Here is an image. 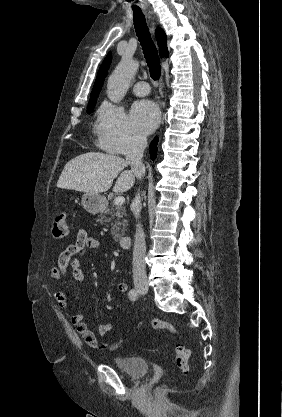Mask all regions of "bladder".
<instances>
[{"mask_svg":"<svg viewBox=\"0 0 282 417\" xmlns=\"http://www.w3.org/2000/svg\"><path fill=\"white\" fill-rule=\"evenodd\" d=\"M114 367L131 378L138 379L144 377L150 370L148 361L141 356H124L112 359Z\"/></svg>","mask_w":282,"mask_h":417,"instance_id":"31cf9c89","label":"bladder"}]
</instances>
